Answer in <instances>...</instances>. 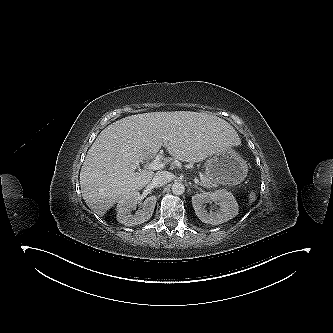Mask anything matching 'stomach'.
Here are the masks:
<instances>
[{
  "label": "stomach",
  "mask_w": 333,
  "mask_h": 333,
  "mask_svg": "<svg viewBox=\"0 0 333 333\" xmlns=\"http://www.w3.org/2000/svg\"><path fill=\"white\" fill-rule=\"evenodd\" d=\"M248 167L241 155L230 148L208 160L205 175L216 184L234 186L247 176Z\"/></svg>",
  "instance_id": "obj_1"
}]
</instances>
